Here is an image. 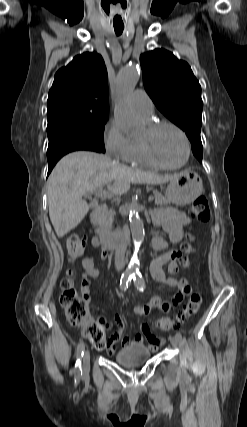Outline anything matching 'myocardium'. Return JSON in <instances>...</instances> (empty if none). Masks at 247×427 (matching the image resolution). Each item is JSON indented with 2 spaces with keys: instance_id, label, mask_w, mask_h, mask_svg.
<instances>
[{
  "instance_id": "obj_1",
  "label": "myocardium",
  "mask_w": 247,
  "mask_h": 427,
  "mask_svg": "<svg viewBox=\"0 0 247 427\" xmlns=\"http://www.w3.org/2000/svg\"><path fill=\"white\" fill-rule=\"evenodd\" d=\"M163 127H170L172 129H174L183 139L184 147H185V156H184L183 161L177 165H166V164L160 163L152 155L147 140H139L138 141L142 155L144 156L146 161L154 167H157L160 169H165V170L181 169L182 167H184L188 163L189 158H190L191 146H190L189 138L182 128H180L177 124H175L171 121H167V120L149 123L146 127V131H147L148 135H152L153 133H155L156 131H158L159 129H161Z\"/></svg>"
}]
</instances>
